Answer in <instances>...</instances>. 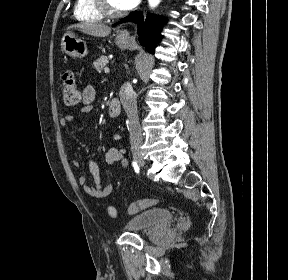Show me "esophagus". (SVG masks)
Segmentation results:
<instances>
[{
	"label": "esophagus",
	"mask_w": 288,
	"mask_h": 280,
	"mask_svg": "<svg viewBox=\"0 0 288 280\" xmlns=\"http://www.w3.org/2000/svg\"><path fill=\"white\" fill-rule=\"evenodd\" d=\"M119 36L123 37V38H129L130 37V33L127 29H122L119 32Z\"/></svg>",
	"instance_id": "34e87169"
}]
</instances>
